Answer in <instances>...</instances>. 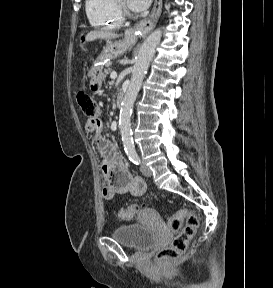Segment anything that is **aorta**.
I'll use <instances>...</instances> for the list:
<instances>
[{"label":"aorta","mask_w":273,"mask_h":288,"mask_svg":"<svg viewBox=\"0 0 273 288\" xmlns=\"http://www.w3.org/2000/svg\"><path fill=\"white\" fill-rule=\"evenodd\" d=\"M161 37V29H156L143 42L133 66L132 77L128 90L121 104L119 128L123 146L128 155L135 154V146L132 139L130 124L132 108L142 85L143 78L155 54L156 47L160 43Z\"/></svg>","instance_id":"aorta-1"}]
</instances>
